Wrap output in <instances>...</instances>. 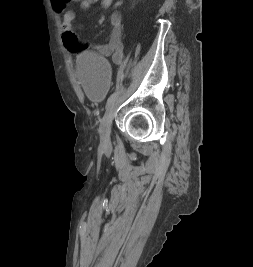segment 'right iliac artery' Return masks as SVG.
Here are the masks:
<instances>
[{"label":"right iliac artery","instance_id":"obj_1","mask_svg":"<svg viewBox=\"0 0 253 267\" xmlns=\"http://www.w3.org/2000/svg\"><path fill=\"white\" fill-rule=\"evenodd\" d=\"M118 96V90L115 91L112 95H110V97L108 98L107 100V103H106V108H108V106L115 101V99L117 98Z\"/></svg>","mask_w":253,"mask_h":267}]
</instances>
